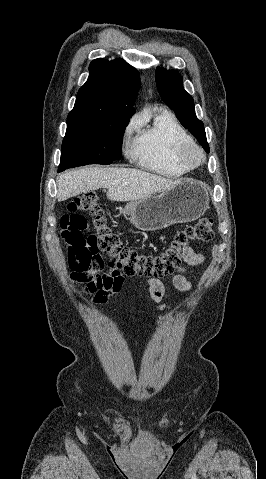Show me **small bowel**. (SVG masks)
<instances>
[{"mask_svg":"<svg viewBox=\"0 0 266 479\" xmlns=\"http://www.w3.org/2000/svg\"><path fill=\"white\" fill-rule=\"evenodd\" d=\"M183 259L186 265L197 266L202 263L203 255L188 247L183 253ZM186 270V266L179 267L172 278L173 286L183 292L190 291L193 288V284L186 278ZM146 288L152 300L158 303L160 308L163 309L165 307L162 303L165 294L164 284L159 279L150 278L147 281Z\"/></svg>","mask_w":266,"mask_h":479,"instance_id":"small-bowel-1","label":"small bowel"}]
</instances>
